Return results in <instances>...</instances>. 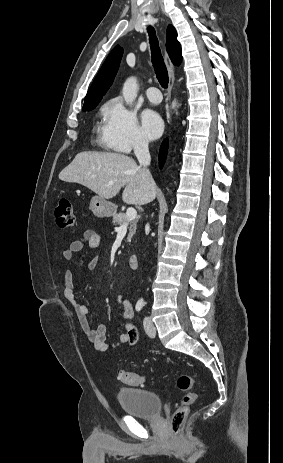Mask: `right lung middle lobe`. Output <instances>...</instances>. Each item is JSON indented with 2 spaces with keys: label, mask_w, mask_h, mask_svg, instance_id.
<instances>
[{
  "label": "right lung middle lobe",
  "mask_w": 283,
  "mask_h": 463,
  "mask_svg": "<svg viewBox=\"0 0 283 463\" xmlns=\"http://www.w3.org/2000/svg\"><path fill=\"white\" fill-rule=\"evenodd\" d=\"M97 104H98V103L93 104V105H89V106H84L82 110H83V111H90V110L94 109V108L96 107Z\"/></svg>",
  "instance_id": "1"
}]
</instances>
